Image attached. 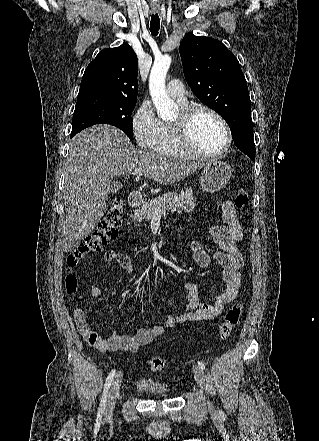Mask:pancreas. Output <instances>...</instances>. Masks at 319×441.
<instances>
[{
  "label": "pancreas",
  "instance_id": "pancreas-1",
  "mask_svg": "<svg viewBox=\"0 0 319 441\" xmlns=\"http://www.w3.org/2000/svg\"><path fill=\"white\" fill-rule=\"evenodd\" d=\"M195 207V200L193 197L192 189H187L186 192L181 194L167 193L162 197L154 198L150 202H144L142 207L134 212V222H141L142 220H149L154 214L156 209L160 210L163 214L168 209L171 212L178 211V213H188Z\"/></svg>",
  "mask_w": 319,
  "mask_h": 441
}]
</instances>
